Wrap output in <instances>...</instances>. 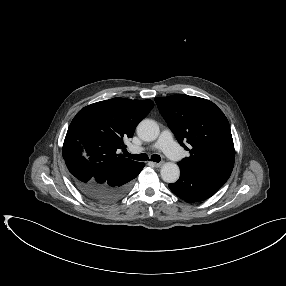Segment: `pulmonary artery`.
<instances>
[{"label":"pulmonary artery","instance_id":"1","mask_svg":"<svg viewBox=\"0 0 286 286\" xmlns=\"http://www.w3.org/2000/svg\"><path fill=\"white\" fill-rule=\"evenodd\" d=\"M153 148H160L165 152V154L170 157L171 159H177L180 156V149L175 143L173 139V135L169 130H164L158 141L155 145H153ZM144 148L141 147H132L133 152H141Z\"/></svg>","mask_w":286,"mask_h":286}]
</instances>
